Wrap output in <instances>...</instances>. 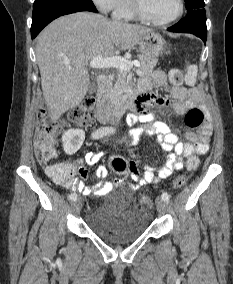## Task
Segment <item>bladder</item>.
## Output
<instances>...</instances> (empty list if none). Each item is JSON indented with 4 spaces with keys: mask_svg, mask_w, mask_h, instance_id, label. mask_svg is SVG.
I'll return each instance as SVG.
<instances>
[{
    "mask_svg": "<svg viewBox=\"0 0 233 284\" xmlns=\"http://www.w3.org/2000/svg\"><path fill=\"white\" fill-rule=\"evenodd\" d=\"M152 214L146 204H133L131 195L100 202L87 213L85 224L104 241L123 244L141 237L151 224Z\"/></svg>",
    "mask_w": 233,
    "mask_h": 284,
    "instance_id": "bladder-1",
    "label": "bladder"
}]
</instances>
